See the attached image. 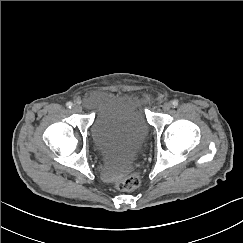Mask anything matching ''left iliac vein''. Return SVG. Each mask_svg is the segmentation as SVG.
<instances>
[{
  "mask_svg": "<svg viewBox=\"0 0 243 243\" xmlns=\"http://www.w3.org/2000/svg\"><path fill=\"white\" fill-rule=\"evenodd\" d=\"M164 111H169L171 109V104L170 103H164L162 106Z\"/></svg>",
  "mask_w": 243,
  "mask_h": 243,
  "instance_id": "obj_1",
  "label": "left iliac vein"
}]
</instances>
